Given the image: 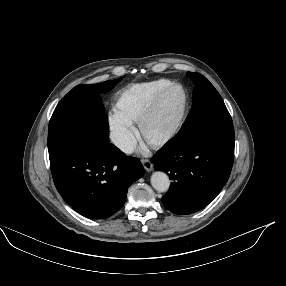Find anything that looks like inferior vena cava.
<instances>
[{"mask_svg":"<svg viewBox=\"0 0 286 286\" xmlns=\"http://www.w3.org/2000/svg\"><path fill=\"white\" fill-rule=\"evenodd\" d=\"M112 142L126 153L134 150V142L130 134L125 132H114L111 135Z\"/></svg>","mask_w":286,"mask_h":286,"instance_id":"1","label":"inferior vena cava"}]
</instances>
